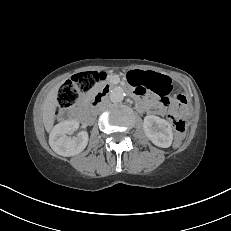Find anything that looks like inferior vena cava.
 <instances>
[{"label": "inferior vena cava", "instance_id": "1", "mask_svg": "<svg viewBox=\"0 0 231 231\" xmlns=\"http://www.w3.org/2000/svg\"><path fill=\"white\" fill-rule=\"evenodd\" d=\"M107 103H108V100H104L102 107H104Z\"/></svg>", "mask_w": 231, "mask_h": 231}]
</instances>
